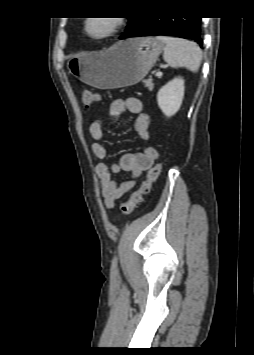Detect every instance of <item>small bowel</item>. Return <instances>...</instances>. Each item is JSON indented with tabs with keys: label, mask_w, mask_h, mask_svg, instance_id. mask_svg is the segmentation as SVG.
Wrapping results in <instances>:
<instances>
[{
	"label": "small bowel",
	"mask_w": 254,
	"mask_h": 355,
	"mask_svg": "<svg viewBox=\"0 0 254 355\" xmlns=\"http://www.w3.org/2000/svg\"><path fill=\"white\" fill-rule=\"evenodd\" d=\"M126 111L136 116L133 127L137 137L143 142L149 141L150 117L143 112L141 100L134 97L115 99L110 104L109 116L115 118ZM89 133L92 138V152L98 159L102 160L96 165L95 171L100 179L104 205L107 209H112L115 201L130 192L143 172L152 167L157 161L159 153L154 147H146L142 152L121 155L117 163L107 164L103 161L107 159L108 152L103 143L105 136L102 121H93L89 127ZM120 171L128 172L130 178L123 182L115 180L113 176Z\"/></svg>",
	"instance_id": "obj_1"
}]
</instances>
